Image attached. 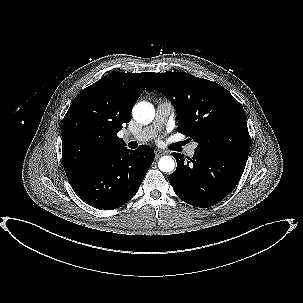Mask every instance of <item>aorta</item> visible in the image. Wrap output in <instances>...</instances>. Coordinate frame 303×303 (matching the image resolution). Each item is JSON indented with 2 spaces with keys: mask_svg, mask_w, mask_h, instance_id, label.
Returning a JSON list of instances; mask_svg holds the SVG:
<instances>
[{
  "mask_svg": "<svg viewBox=\"0 0 303 303\" xmlns=\"http://www.w3.org/2000/svg\"><path fill=\"white\" fill-rule=\"evenodd\" d=\"M132 114L138 123L147 125L154 119L155 109L149 102H140L134 106ZM158 167L162 172H172L175 162L171 156H163L158 162Z\"/></svg>",
  "mask_w": 303,
  "mask_h": 303,
  "instance_id": "1",
  "label": "aorta"
}]
</instances>
